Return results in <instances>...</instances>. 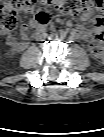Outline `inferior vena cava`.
I'll return each mask as SVG.
<instances>
[{"label": "inferior vena cava", "instance_id": "1", "mask_svg": "<svg viewBox=\"0 0 104 137\" xmlns=\"http://www.w3.org/2000/svg\"><path fill=\"white\" fill-rule=\"evenodd\" d=\"M48 41H49V36L47 34H41L39 36V43L41 45H46L48 43Z\"/></svg>", "mask_w": 104, "mask_h": 137}]
</instances>
